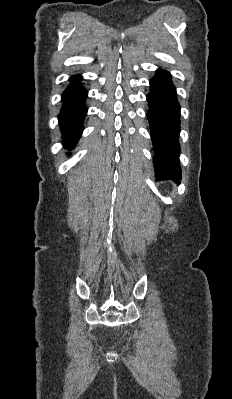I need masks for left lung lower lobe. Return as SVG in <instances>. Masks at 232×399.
<instances>
[{
  "label": "left lung lower lobe",
  "instance_id": "obj_1",
  "mask_svg": "<svg viewBox=\"0 0 232 399\" xmlns=\"http://www.w3.org/2000/svg\"><path fill=\"white\" fill-rule=\"evenodd\" d=\"M147 101V118L155 151L153 163L156 178L179 183L182 178L178 141L180 105L169 72L158 69L156 76L150 80Z\"/></svg>",
  "mask_w": 232,
  "mask_h": 399
}]
</instances>
